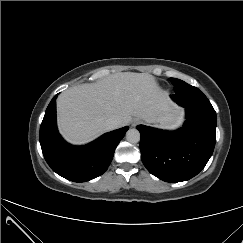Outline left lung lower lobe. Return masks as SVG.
<instances>
[{"mask_svg":"<svg viewBox=\"0 0 243 243\" xmlns=\"http://www.w3.org/2000/svg\"><path fill=\"white\" fill-rule=\"evenodd\" d=\"M172 95L186 109L187 121L175 132L138 125L141 158L148 171L166 182L186 181L210 159L216 142V112L199 107L203 93L191 85Z\"/></svg>","mask_w":243,"mask_h":243,"instance_id":"obj_1","label":"left lung lower lobe"}]
</instances>
